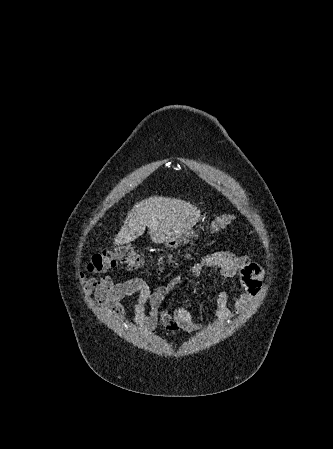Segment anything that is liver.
<instances>
[{
  "label": "liver",
  "mask_w": 333,
  "mask_h": 449,
  "mask_svg": "<svg viewBox=\"0 0 333 449\" xmlns=\"http://www.w3.org/2000/svg\"><path fill=\"white\" fill-rule=\"evenodd\" d=\"M200 217V210L189 202L168 197H149L136 203L128 212L123 226L114 238V245L127 244L150 230L154 243H164L180 237L192 228Z\"/></svg>",
  "instance_id": "liver-1"
}]
</instances>
